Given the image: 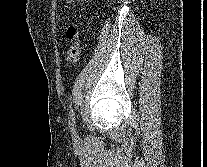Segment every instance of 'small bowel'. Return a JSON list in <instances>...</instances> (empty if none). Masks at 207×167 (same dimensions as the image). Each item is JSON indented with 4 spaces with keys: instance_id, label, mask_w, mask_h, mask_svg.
Returning a JSON list of instances; mask_svg holds the SVG:
<instances>
[{
    "instance_id": "obj_1",
    "label": "small bowel",
    "mask_w": 207,
    "mask_h": 167,
    "mask_svg": "<svg viewBox=\"0 0 207 167\" xmlns=\"http://www.w3.org/2000/svg\"><path fill=\"white\" fill-rule=\"evenodd\" d=\"M67 4L69 5V9L73 10L76 6H78L81 3H87L92 0H66Z\"/></svg>"
}]
</instances>
